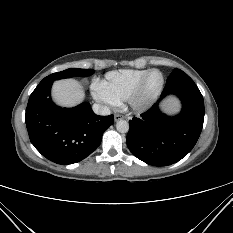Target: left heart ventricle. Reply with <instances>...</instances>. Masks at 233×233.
Wrapping results in <instances>:
<instances>
[{
	"instance_id": "left-heart-ventricle-1",
	"label": "left heart ventricle",
	"mask_w": 233,
	"mask_h": 233,
	"mask_svg": "<svg viewBox=\"0 0 233 233\" xmlns=\"http://www.w3.org/2000/svg\"><path fill=\"white\" fill-rule=\"evenodd\" d=\"M161 83V76L159 73H152L145 84L144 96H149L153 94L159 87Z\"/></svg>"
}]
</instances>
